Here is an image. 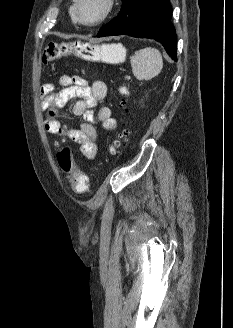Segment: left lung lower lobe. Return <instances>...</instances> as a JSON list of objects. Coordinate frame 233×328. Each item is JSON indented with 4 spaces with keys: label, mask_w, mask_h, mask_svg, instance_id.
<instances>
[{
    "label": "left lung lower lobe",
    "mask_w": 233,
    "mask_h": 328,
    "mask_svg": "<svg viewBox=\"0 0 233 328\" xmlns=\"http://www.w3.org/2000/svg\"><path fill=\"white\" fill-rule=\"evenodd\" d=\"M171 16L169 0H123L117 17L104 25L97 37L129 35L155 39L177 60L176 31Z\"/></svg>",
    "instance_id": "left-lung-lower-lobe-1"
}]
</instances>
